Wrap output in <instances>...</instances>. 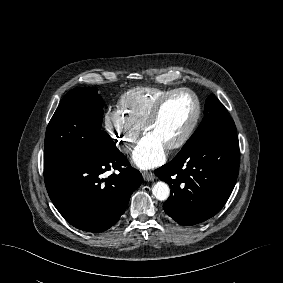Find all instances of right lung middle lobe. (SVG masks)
<instances>
[{"instance_id": "right-lung-middle-lobe-1", "label": "right lung middle lobe", "mask_w": 283, "mask_h": 283, "mask_svg": "<svg viewBox=\"0 0 283 283\" xmlns=\"http://www.w3.org/2000/svg\"><path fill=\"white\" fill-rule=\"evenodd\" d=\"M97 91L90 87L75 88L62 99L45 135L46 171L113 141L101 130L103 100Z\"/></svg>"}]
</instances>
